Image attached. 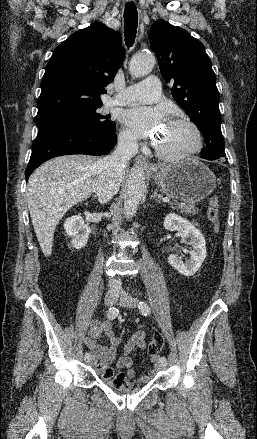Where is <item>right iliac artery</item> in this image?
Wrapping results in <instances>:
<instances>
[{
    "label": "right iliac artery",
    "instance_id": "1",
    "mask_svg": "<svg viewBox=\"0 0 257 439\" xmlns=\"http://www.w3.org/2000/svg\"><path fill=\"white\" fill-rule=\"evenodd\" d=\"M118 313H119L118 309L115 307H112L107 311V317L109 319H115L117 317ZM89 359H92V355H91V353L86 352L85 353V360H89Z\"/></svg>",
    "mask_w": 257,
    "mask_h": 439
}]
</instances>
